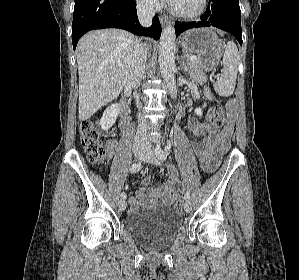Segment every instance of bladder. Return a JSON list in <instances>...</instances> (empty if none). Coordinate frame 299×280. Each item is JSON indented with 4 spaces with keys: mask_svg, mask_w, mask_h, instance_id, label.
Wrapping results in <instances>:
<instances>
[{
    "mask_svg": "<svg viewBox=\"0 0 299 280\" xmlns=\"http://www.w3.org/2000/svg\"><path fill=\"white\" fill-rule=\"evenodd\" d=\"M126 230L149 249L169 246L182 229L181 214L169 206L145 208L125 221Z\"/></svg>",
    "mask_w": 299,
    "mask_h": 280,
    "instance_id": "bladder-1",
    "label": "bladder"
}]
</instances>
